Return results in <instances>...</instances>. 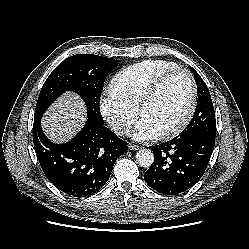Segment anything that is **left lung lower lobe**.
Segmentation results:
<instances>
[{"label":"left lung lower lobe","instance_id":"0a47b994","mask_svg":"<svg viewBox=\"0 0 249 249\" xmlns=\"http://www.w3.org/2000/svg\"><path fill=\"white\" fill-rule=\"evenodd\" d=\"M214 144L215 137L196 133L150 147L154 162L144 173L146 183L166 195L187 191L204 174Z\"/></svg>","mask_w":249,"mask_h":249}]
</instances>
